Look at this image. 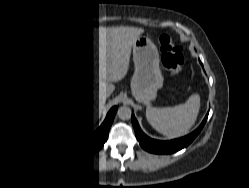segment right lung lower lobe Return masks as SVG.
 Listing matches in <instances>:
<instances>
[{
    "label": "right lung lower lobe",
    "mask_w": 249,
    "mask_h": 188,
    "mask_svg": "<svg viewBox=\"0 0 249 188\" xmlns=\"http://www.w3.org/2000/svg\"><path fill=\"white\" fill-rule=\"evenodd\" d=\"M65 48V43L61 41L59 36V44L54 54L55 58L52 64L47 94H45L44 84L42 87L43 111L44 114L48 113V119L52 127V132L49 133V137L52 142L66 154H70L74 157L93 156L94 153L98 152L103 147L108 138L109 130L117 111V106H114L109 110L104 122L93 132L92 94L91 127H89L85 135L82 136L80 134L79 78L78 76H72L68 73L65 63ZM44 56L45 53L41 56L42 60L44 59Z\"/></svg>",
    "instance_id": "obj_1"
}]
</instances>
